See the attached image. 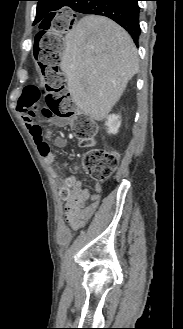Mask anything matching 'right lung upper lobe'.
Segmentation results:
<instances>
[{
	"label": "right lung upper lobe",
	"instance_id": "cb5924a9",
	"mask_svg": "<svg viewBox=\"0 0 183 329\" xmlns=\"http://www.w3.org/2000/svg\"><path fill=\"white\" fill-rule=\"evenodd\" d=\"M37 12L39 13L36 16L35 22L46 21L51 15L52 11L58 10L62 7L68 6L72 8V5L69 3L71 0H37ZM37 15V14H36Z\"/></svg>",
	"mask_w": 183,
	"mask_h": 329
}]
</instances>
